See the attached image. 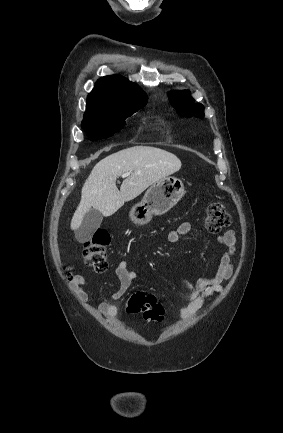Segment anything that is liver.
Masks as SVG:
<instances>
[{
  "label": "liver",
  "instance_id": "obj_1",
  "mask_svg": "<svg viewBox=\"0 0 283 433\" xmlns=\"http://www.w3.org/2000/svg\"><path fill=\"white\" fill-rule=\"evenodd\" d=\"M181 168V160L167 150L155 146H130L99 160L85 180L81 200L73 214L72 231L81 227L84 214L90 208L100 210L104 217H111L125 200L141 194L152 182L173 174ZM131 172L124 178L120 190L116 178Z\"/></svg>",
  "mask_w": 283,
  "mask_h": 433
}]
</instances>
